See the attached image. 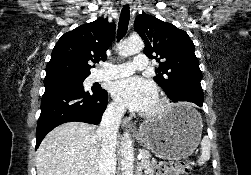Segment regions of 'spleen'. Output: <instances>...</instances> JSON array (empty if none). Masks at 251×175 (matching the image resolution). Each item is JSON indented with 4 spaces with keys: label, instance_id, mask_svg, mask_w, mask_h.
Segmentation results:
<instances>
[{
    "label": "spleen",
    "instance_id": "obj_1",
    "mask_svg": "<svg viewBox=\"0 0 251 175\" xmlns=\"http://www.w3.org/2000/svg\"><path fill=\"white\" fill-rule=\"evenodd\" d=\"M211 153V141L208 135H204L203 139H201V155L198 159V165H203L205 161L210 159Z\"/></svg>",
    "mask_w": 251,
    "mask_h": 175
}]
</instances>
